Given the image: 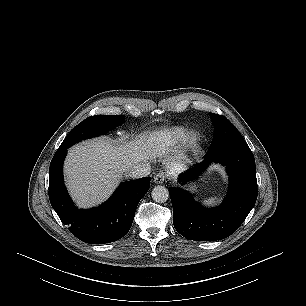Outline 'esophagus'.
<instances>
[{
  "mask_svg": "<svg viewBox=\"0 0 306 306\" xmlns=\"http://www.w3.org/2000/svg\"><path fill=\"white\" fill-rule=\"evenodd\" d=\"M166 179V176L163 172H159L154 176V183L156 184H162L164 183Z\"/></svg>",
  "mask_w": 306,
  "mask_h": 306,
  "instance_id": "esophagus-1",
  "label": "esophagus"
}]
</instances>
